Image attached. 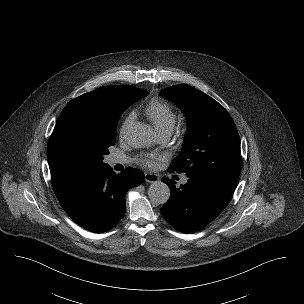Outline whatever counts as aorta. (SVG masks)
<instances>
[{
	"label": "aorta",
	"instance_id": "aorta-1",
	"mask_svg": "<svg viewBox=\"0 0 304 304\" xmlns=\"http://www.w3.org/2000/svg\"><path fill=\"white\" fill-rule=\"evenodd\" d=\"M150 136V127L143 123H137L129 129L127 141L134 147H144L149 143ZM148 195L153 203L165 204L170 197V189L165 183L155 181L150 185Z\"/></svg>",
	"mask_w": 304,
	"mask_h": 304
}]
</instances>
